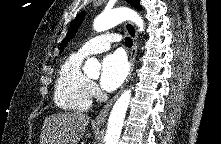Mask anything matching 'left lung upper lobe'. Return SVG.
Masks as SVG:
<instances>
[{"label": "left lung upper lobe", "instance_id": "obj_1", "mask_svg": "<svg viewBox=\"0 0 221 144\" xmlns=\"http://www.w3.org/2000/svg\"><path fill=\"white\" fill-rule=\"evenodd\" d=\"M129 4H131L136 9L141 10V6L139 5V0H127ZM85 11L81 12L76 16V18L73 20V22L70 25V28L68 30L67 36L65 37L63 44L61 46L60 52L64 49L66 43L69 42V40L75 35L76 31L78 30L79 26L81 25L82 20L85 16Z\"/></svg>", "mask_w": 221, "mask_h": 144}]
</instances>
